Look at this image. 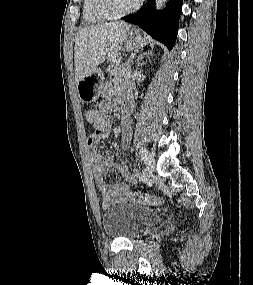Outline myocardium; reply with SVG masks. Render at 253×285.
Segmentation results:
<instances>
[{"label":"myocardium","instance_id":"obj_1","mask_svg":"<svg viewBox=\"0 0 253 285\" xmlns=\"http://www.w3.org/2000/svg\"><path fill=\"white\" fill-rule=\"evenodd\" d=\"M93 9L97 14L106 19H118L135 12L141 5L143 0H137L130 8L123 11H114L108 5L107 0H92Z\"/></svg>","mask_w":253,"mask_h":285}]
</instances>
